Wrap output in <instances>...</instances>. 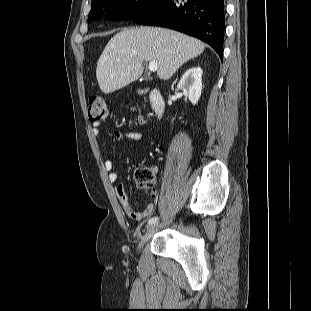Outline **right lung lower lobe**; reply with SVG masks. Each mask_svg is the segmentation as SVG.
Instances as JSON below:
<instances>
[{
	"mask_svg": "<svg viewBox=\"0 0 311 311\" xmlns=\"http://www.w3.org/2000/svg\"><path fill=\"white\" fill-rule=\"evenodd\" d=\"M131 20L194 36L209 44L221 59L223 57L224 0H159Z\"/></svg>",
	"mask_w": 311,
	"mask_h": 311,
	"instance_id": "right-lung-lower-lobe-1",
	"label": "right lung lower lobe"
}]
</instances>
